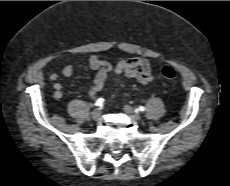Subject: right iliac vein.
<instances>
[{
    "label": "right iliac vein",
    "mask_w": 230,
    "mask_h": 186,
    "mask_svg": "<svg viewBox=\"0 0 230 186\" xmlns=\"http://www.w3.org/2000/svg\"><path fill=\"white\" fill-rule=\"evenodd\" d=\"M102 111L100 108H96L91 113V118L93 120H98L101 117Z\"/></svg>",
    "instance_id": "obj_1"
}]
</instances>
